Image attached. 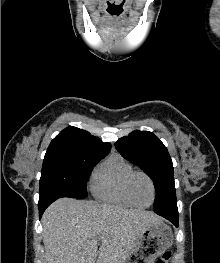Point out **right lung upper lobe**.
Segmentation results:
<instances>
[{
    "label": "right lung upper lobe",
    "instance_id": "1",
    "mask_svg": "<svg viewBox=\"0 0 220 263\" xmlns=\"http://www.w3.org/2000/svg\"><path fill=\"white\" fill-rule=\"evenodd\" d=\"M110 150V143H103L89 132L70 126L51 141L47 151H83L107 155Z\"/></svg>",
    "mask_w": 220,
    "mask_h": 263
}]
</instances>
